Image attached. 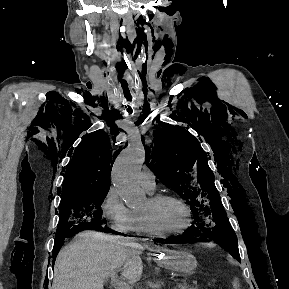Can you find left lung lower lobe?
Instances as JSON below:
<instances>
[{
	"label": "left lung lower lobe",
	"mask_w": 289,
	"mask_h": 289,
	"mask_svg": "<svg viewBox=\"0 0 289 289\" xmlns=\"http://www.w3.org/2000/svg\"><path fill=\"white\" fill-rule=\"evenodd\" d=\"M201 238L202 239L211 238L215 240L214 236L208 229L198 231L191 229L190 231L187 230L181 236L168 239L166 242L170 244H186V243H193Z\"/></svg>",
	"instance_id": "0a47b994"
}]
</instances>
